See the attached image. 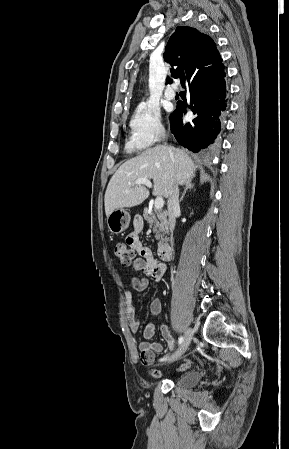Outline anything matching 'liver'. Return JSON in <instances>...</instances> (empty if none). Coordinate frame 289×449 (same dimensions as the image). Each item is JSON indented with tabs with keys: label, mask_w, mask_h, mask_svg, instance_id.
I'll return each mask as SVG.
<instances>
[{
	"label": "liver",
	"mask_w": 289,
	"mask_h": 449,
	"mask_svg": "<svg viewBox=\"0 0 289 449\" xmlns=\"http://www.w3.org/2000/svg\"><path fill=\"white\" fill-rule=\"evenodd\" d=\"M196 166L188 154L178 148L157 146L147 149L122 164L110 179L105 192V213L140 205L149 196L148 189L136 185L139 178L152 179L153 195L169 198L173 183L183 185L195 176Z\"/></svg>",
	"instance_id": "obj_1"
}]
</instances>
